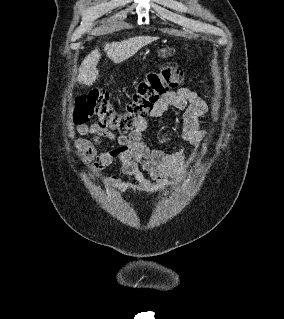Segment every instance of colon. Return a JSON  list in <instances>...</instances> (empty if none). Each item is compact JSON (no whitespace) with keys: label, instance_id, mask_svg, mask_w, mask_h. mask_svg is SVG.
Segmentation results:
<instances>
[{"label":"colon","instance_id":"5ec220e1","mask_svg":"<svg viewBox=\"0 0 284 319\" xmlns=\"http://www.w3.org/2000/svg\"><path fill=\"white\" fill-rule=\"evenodd\" d=\"M184 77L182 70L170 65L150 72L136 85L123 110L114 106L107 91L92 90L76 100L73 121L82 125L96 119L103 128L127 133L147 117L162 96L182 86Z\"/></svg>","mask_w":284,"mask_h":319}]
</instances>
